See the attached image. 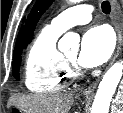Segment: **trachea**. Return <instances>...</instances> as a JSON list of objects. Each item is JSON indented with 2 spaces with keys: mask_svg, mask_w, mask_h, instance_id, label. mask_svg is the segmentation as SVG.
Wrapping results in <instances>:
<instances>
[{
  "mask_svg": "<svg viewBox=\"0 0 123 113\" xmlns=\"http://www.w3.org/2000/svg\"><path fill=\"white\" fill-rule=\"evenodd\" d=\"M101 8H102L103 13L105 14H109L111 11V6L108 1H103L101 4Z\"/></svg>",
  "mask_w": 123,
  "mask_h": 113,
  "instance_id": "1",
  "label": "trachea"
}]
</instances>
